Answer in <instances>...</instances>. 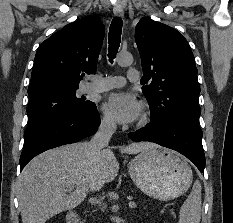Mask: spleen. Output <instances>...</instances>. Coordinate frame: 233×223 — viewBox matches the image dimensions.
Returning a JSON list of instances; mask_svg holds the SVG:
<instances>
[{
	"label": "spleen",
	"instance_id": "spleen-1",
	"mask_svg": "<svg viewBox=\"0 0 233 223\" xmlns=\"http://www.w3.org/2000/svg\"><path fill=\"white\" fill-rule=\"evenodd\" d=\"M201 193V183L196 179L190 195L180 207L179 223H200Z\"/></svg>",
	"mask_w": 233,
	"mask_h": 223
}]
</instances>
